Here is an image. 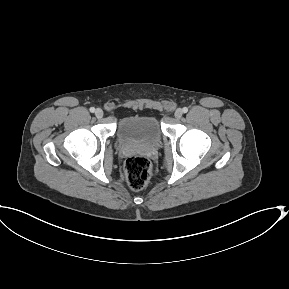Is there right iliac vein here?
Returning <instances> with one entry per match:
<instances>
[{"mask_svg":"<svg viewBox=\"0 0 289 289\" xmlns=\"http://www.w3.org/2000/svg\"><path fill=\"white\" fill-rule=\"evenodd\" d=\"M103 110L102 109H100V108H98V109H96V111H95V115H96V117L97 118H102L103 117Z\"/></svg>","mask_w":289,"mask_h":289,"instance_id":"1","label":"right iliac vein"}]
</instances>
